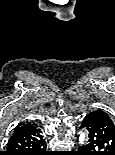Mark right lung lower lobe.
I'll use <instances>...</instances> for the list:
<instances>
[{
    "instance_id": "right-lung-lower-lobe-1",
    "label": "right lung lower lobe",
    "mask_w": 115,
    "mask_h": 155,
    "mask_svg": "<svg viewBox=\"0 0 115 155\" xmlns=\"http://www.w3.org/2000/svg\"><path fill=\"white\" fill-rule=\"evenodd\" d=\"M42 132L37 127L12 135L4 155H50Z\"/></svg>"
}]
</instances>
